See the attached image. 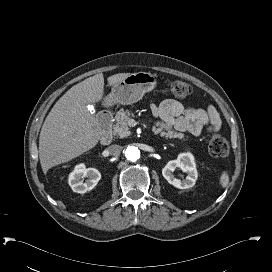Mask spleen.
Wrapping results in <instances>:
<instances>
[{
  "mask_svg": "<svg viewBox=\"0 0 272 272\" xmlns=\"http://www.w3.org/2000/svg\"><path fill=\"white\" fill-rule=\"evenodd\" d=\"M220 183L222 185V187H226L229 183V176L227 174V172H223L221 177H220Z\"/></svg>",
  "mask_w": 272,
  "mask_h": 272,
  "instance_id": "3e777b00",
  "label": "spleen"
}]
</instances>
